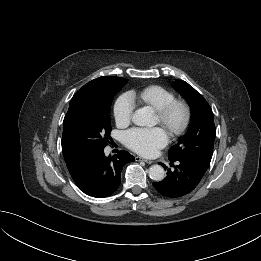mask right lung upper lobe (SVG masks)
<instances>
[{
	"instance_id": "1",
	"label": "right lung upper lobe",
	"mask_w": 261,
	"mask_h": 261,
	"mask_svg": "<svg viewBox=\"0 0 261 261\" xmlns=\"http://www.w3.org/2000/svg\"><path fill=\"white\" fill-rule=\"evenodd\" d=\"M119 78L121 77H114V76H106V77H99L96 78L89 83L85 84L81 89H79L73 96L70 106L74 104V102L77 100V98L87 92H94V91H100V90H106L111 85H113ZM69 106V107H70ZM70 159H65V161H68Z\"/></svg>"
}]
</instances>
